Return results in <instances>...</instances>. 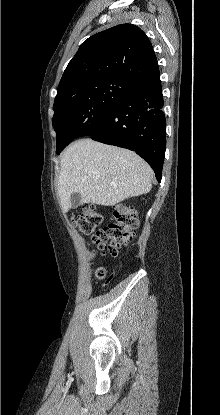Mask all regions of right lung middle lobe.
<instances>
[{"label": "right lung middle lobe", "instance_id": "dd1d6c3e", "mask_svg": "<svg viewBox=\"0 0 220 415\" xmlns=\"http://www.w3.org/2000/svg\"><path fill=\"white\" fill-rule=\"evenodd\" d=\"M133 86L120 79L107 78L77 83L57 93L52 121L57 133L56 153L75 138L96 132L109 110Z\"/></svg>", "mask_w": 220, "mask_h": 415}]
</instances>
